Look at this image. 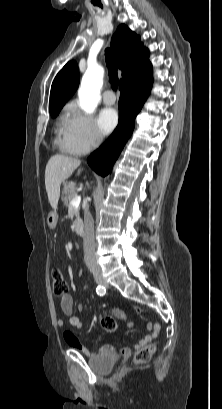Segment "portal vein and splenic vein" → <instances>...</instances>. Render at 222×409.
Wrapping results in <instances>:
<instances>
[{
	"label": "portal vein and splenic vein",
	"mask_w": 222,
	"mask_h": 409,
	"mask_svg": "<svg viewBox=\"0 0 222 409\" xmlns=\"http://www.w3.org/2000/svg\"><path fill=\"white\" fill-rule=\"evenodd\" d=\"M80 202H81V197H80V196H76L75 198H73V199L70 201V205L77 207V206H79Z\"/></svg>",
	"instance_id": "1"
}]
</instances>
